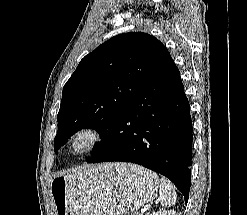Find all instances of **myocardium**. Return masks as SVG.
<instances>
[{
  "label": "myocardium",
  "mask_w": 247,
  "mask_h": 215,
  "mask_svg": "<svg viewBox=\"0 0 247 215\" xmlns=\"http://www.w3.org/2000/svg\"><path fill=\"white\" fill-rule=\"evenodd\" d=\"M102 139L96 128L84 125L75 129L68 138V149L76 156H82L93 151Z\"/></svg>",
  "instance_id": "1"
}]
</instances>
